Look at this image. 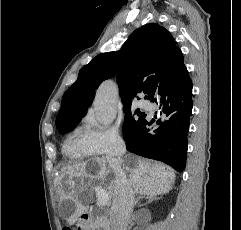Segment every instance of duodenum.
I'll return each instance as SVG.
<instances>
[{"label":"duodenum","instance_id":"obj_1","mask_svg":"<svg viewBox=\"0 0 241 230\" xmlns=\"http://www.w3.org/2000/svg\"><path fill=\"white\" fill-rule=\"evenodd\" d=\"M90 220H91V216L87 213L82 214L81 219H80L81 224H83V225L89 223Z\"/></svg>","mask_w":241,"mask_h":230}]
</instances>
